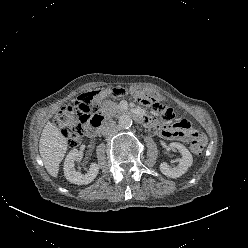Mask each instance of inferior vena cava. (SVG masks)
I'll use <instances>...</instances> for the list:
<instances>
[{
    "mask_svg": "<svg viewBox=\"0 0 248 248\" xmlns=\"http://www.w3.org/2000/svg\"><path fill=\"white\" fill-rule=\"evenodd\" d=\"M115 128H116V122L113 120H109L103 124L102 134L105 136L110 135L115 131Z\"/></svg>",
    "mask_w": 248,
    "mask_h": 248,
    "instance_id": "obj_1",
    "label": "inferior vena cava"
}]
</instances>
